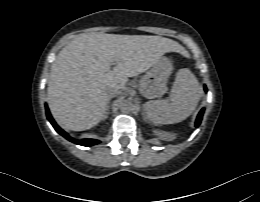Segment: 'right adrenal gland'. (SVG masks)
<instances>
[{
	"instance_id": "1",
	"label": "right adrenal gland",
	"mask_w": 260,
	"mask_h": 202,
	"mask_svg": "<svg viewBox=\"0 0 260 202\" xmlns=\"http://www.w3.org/2000/svg\"><path fill=\"white\" fill-rule=\"evenodd\" d=\"M109 104H110V99H108L107 109H106V114H105L104 119H106V118L108 117V114H109V108H110Z\"/></svg>"
}]
</instances>
